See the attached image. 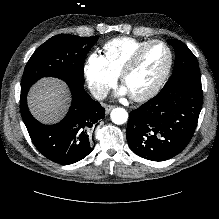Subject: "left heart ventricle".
<instances>
[{
    "instance_id": "b2bd125f",
    "label": "left heart ventricle",
    "mask_w": 219,
    "mask_h": 219,
    "mask_svg": "<svg viewBox=\"0 0 219 219\" xmlns=\"http://www.w3.org/2000/svg\"><path fill=\"white\" fill-rule=\"evenodd\" d=\"M168 59V52L164 46L155 44L150 47L125 78L124 87L127 92L140 94L150 88L164 72Z\"/></svg>"
}]
</instances>
